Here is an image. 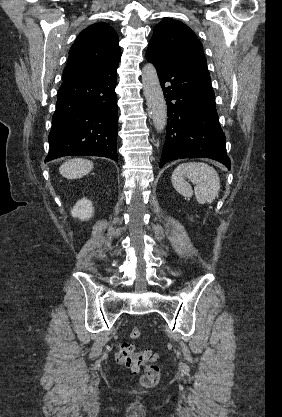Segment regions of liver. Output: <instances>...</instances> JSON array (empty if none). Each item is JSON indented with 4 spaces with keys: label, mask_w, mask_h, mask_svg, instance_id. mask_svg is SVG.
Returning <instances> with one entry per match:
<instances>
[{
    "label": "liver",
    "mask_w": 282,
    "mask_h": 417,
    "mask_svg": "<svg viewBox=\"0 0 282 417\" xmlns=\"http://www.w3.org/2000/svg\"><path fill=\"white\" fill-rule=\"evenodd\" d=\"M92 168H94V164L91 160L71 158L59 166V172L65 178H81L84 174H88Z\"/></svg>",
    "instance_id": "obj_1"
}]
</instances>
